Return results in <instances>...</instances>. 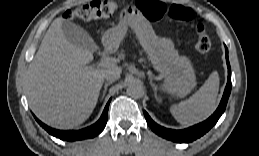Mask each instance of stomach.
I'll use <instances>...</instances> for the list:
<instances>
[{"label":"stomach","instance_id":"0dacf381","mask_svg":"<svg viewBox=\"0 0 259 156\" xmlns=\"http://www.w3.org/2000/svg\"><path fill=\"white\" fill-rule=\"evenodd\" d=\"M128 26L134 29L154 69L164 78L162 90L180 98L189 94L196 86V76L191 61L178 54L170 39L159 38L136 8L128 7L120 14L118 25L108 31L109 42L114 45L119 44Z\"/></svg>","mask_w":259,"mask_h":156}]
</instances>
